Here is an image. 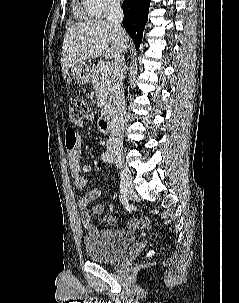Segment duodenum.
Masks as SVG:
<instances>
[{"mask_svg":"<svg viewBox=\"0 0 239 303\" xmlns=\"http://www.w3.org/2000/svg\"><path fill=\"white\" fill-rule=\"evenodd\" d=\"M111 115L108 111L102 114L98 120V126L101 132L109 133L111 130Z\"/></svg>","mask_w":239,"mask_h":303,"instance_id":"1","label":"duodenum"}]
</instances>
